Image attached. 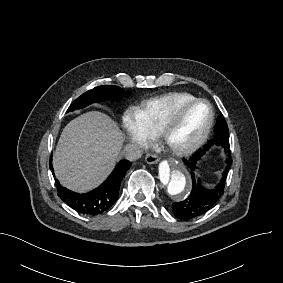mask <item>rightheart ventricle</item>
Wrapping results in <instances>:
<instances>
[{
    "instance_id": "e07e8e85",
    "label": "right heart ventricle",
    "mask_w": 283,
    "mask_h": 283,
    "mask_svg": "<svg viewBox=\"0 0 283 283\" xmlns=\"http://www.w3.org/2000/svg\"><path fill=\"white\" fill-rule=\"evenodd\" d=\"M169 98L175 102L168 105H175L178 107L177 102H185L197 98L195 95L188 92H172L161 98L150 99L141 104L137 108L140 115L142 116L147 128L149 129L152 137H157L158 132V116L162 109L163 100ZM167 105V106H168ZM166 111V110H165Z\"/></svg>"
}]
</instances>
